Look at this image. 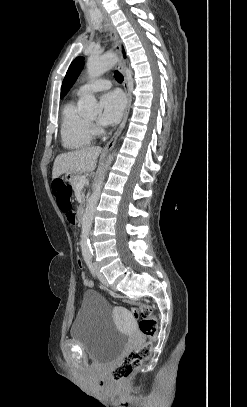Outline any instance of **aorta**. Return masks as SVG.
<instances>
[{
	"label": "aorta",
	"instance_id": "1",
	"mask_svg": "<svg viewBox=\"0 0 247 407\" xmlns=\"http://www.w3.org/2000/svg\"><path fill=\"white\" fill-rule=\"evenodd\" d=\"M117 62V57L112 53L104 54L100 57L90 56L87 61V72L90 78H96L104 74L110 68H112ZM84 110L86 113H97L101 111V107L97 103L93 95H88L83 99ZM113 160V154L108 157L105 168L101 171L99 175V180L97 181L94 190L87 200V206L85 208V213L82 218V230H81V250L83 256L91 255L90 246V230L94 218V213L96 210L97 203L100 198V193L105 179L106 171L108 170L111 162Z\"/></svg>",
	"mask_w": 247,
	"mask_h": 407
}]
</instances>
